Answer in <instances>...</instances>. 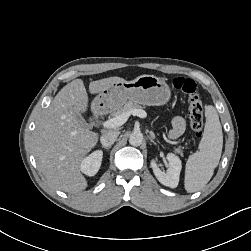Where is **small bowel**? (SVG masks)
<instances>
[{
    "label": "small bowel",
    "instance_id": "c3829d8e",
    "mask_svg": "<svg viewBox=\"0 0 251 251\" xmlns=\"http://www.w3.org/2000/svg\"><path fill=\"white\" fill-rule=\"evenodd\" d=\"M185 129V120L184 118L177 116L172 121V128L169 132V136L172 139L179 137Z\"/></svg>",
    "mask_w": 251,
    "mask_h": 251
}]
</instances>
